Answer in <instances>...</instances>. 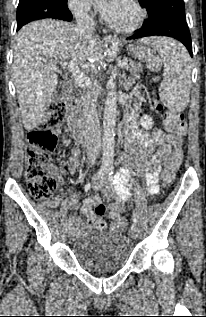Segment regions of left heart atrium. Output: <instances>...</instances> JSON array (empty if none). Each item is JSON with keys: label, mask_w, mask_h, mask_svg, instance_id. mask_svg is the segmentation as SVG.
<instances>
[{"label": "left heart atrium", "mask_w": 206, "mask_h": 317, "mask_svg": "<svg viewBox=\"0 0 206 317\" xmlns=\"http://www.w3.org/2000/svg\"><path fill=\"white\" fill-rule=\"evenodd\" d=\"M91 2L105 18L109 19L119 0H91Z\"/></svg>", "instance_id": "39dd6f15"}]
</instances>
